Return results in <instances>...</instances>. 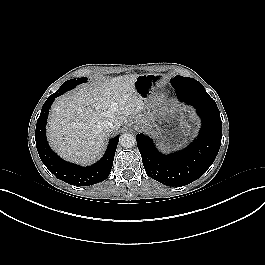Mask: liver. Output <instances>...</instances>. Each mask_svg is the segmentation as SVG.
I'll return each instance as SVG.
<instances>
[{"instance_id": "1", "label": "liver", "mask_w": 265, "mask_h": 265, "mask_svg": "<svg viewBox=\"0 0 265 265\" xmlns=\"http://www.w3.org/2000/svg\"><path fill=\"white\" fill-rule=\"evenodd\" d=\"M137 76L114 77L59 97L48 118L47 134L53 150L67 161L89 165L104 151L107 133L100 122L113 117L121 126L130 117L146 123L148 116L141 114L143 97L135 87Z\"/></svg>"}]
</instances>
